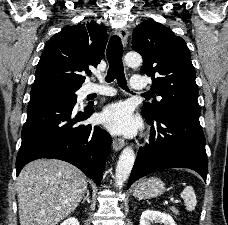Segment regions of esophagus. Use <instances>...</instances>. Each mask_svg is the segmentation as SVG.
<instances>
[{
	"mask_svg": "<svg viewBox=\"0 0 228 225\" xmlns=\"http://www.w3.org/2000/svg\"><path fill=\"white\" fill-rule=\"evenodd\" d=\"M118 36L122 40V44L126 47L128 43V31L125 28H121L117 31ZM124 147V140L122 138H113V149L119 151Z\"/></svg>",
	"mask_w": 228,
	"mask_h": 225,
	"instance_id": "obj_1",
	"label": "esophagus"
}]
</instances>
